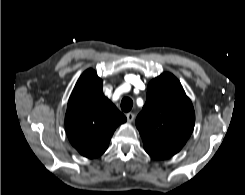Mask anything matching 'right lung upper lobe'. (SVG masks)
Segmentation results:
<instances>
[{
  "label": "right lung upper lobe",
  "mask_w": 245,
  "mask_h": 195,
  "mask_svg": "<svg viewBox=\"0 0 245 195\" xmlns=\"http://www.w3.org/2000/svg\"><path fill=\"white\" fill-rule=\"evenodd\" d=\"M102 80L93 69L78 79L69 98L65 128L71 144L87 158H96L108 148L115 129L126 117L104 96Z\"/></svg>",
  "instance_id": "cb5924a9"
}]
</instances>
